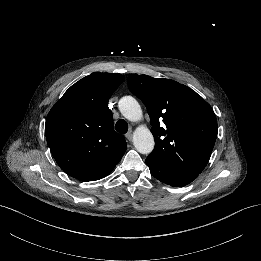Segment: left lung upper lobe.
I'll return each mask as SVG.
<instances>
[{"instance_id": "obj_1", "label": "left lung upper lobe", "mask_w": 261, "mask_h": 261, "mask_svg": "<svg viewBox=\"0 0 261 261\" xmlns=\"http://www.w3.org/2000/svg\"><path fill=\"white\" fill-rule=\"evenodd\" d=\"M127 82L150 116L155 148L148 158L176 170L201 173L217 137L211 106L189 87L170 79L131 74Z\"/></svg>"}]
</instances>
